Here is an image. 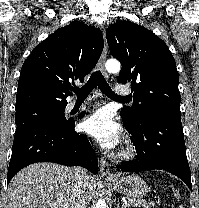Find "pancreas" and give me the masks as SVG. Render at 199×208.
I'll return each mask as SVG.
<instances>
[{"mask_svg":"<svg viewBox=\"0 0 199 208\" xmlns=\"http://www.w3.org/2000/svg\"><path fill=\"white\" fill-rule=\"evenodd\" d=\"M128 204L134 207H144V208H151V204H147L143 200H136V199H128Z\"/></svg>","mask_w":199,"mask_h":208,"instance_id":"obj_1","label":"pancreas"}]
</instances>
